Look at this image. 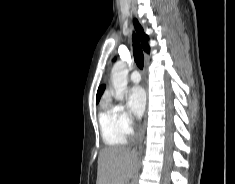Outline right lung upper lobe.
I'll list each match as a JSON object with an SVG mask.
<instances>
[{"label": "right lung upper lobe", "instance_id": "cb5924a9", "mask_svg": "<svg viewBox=\"0 0 235 184\" xmlns=\"http://www.w3.org/2000/svg\"><path fill=\"white\" fill-rule=\"evenodd\" d=\"M134 25H135V27L137 29L138 34H139L140 41H141V44H142V47H143L144 51L145 52H149V50H150V48L148 46V39H149V37L144 33V31H143V29H142V27L139 24L137 19H134ZM104 89H105V85H101L98 88L97 95H96V103L99 102L100 97H101V95L104 92Z\"/></svg>", "mask_w": 235, "mask_h": 184}]
</instances>
